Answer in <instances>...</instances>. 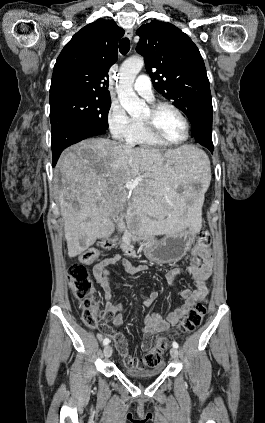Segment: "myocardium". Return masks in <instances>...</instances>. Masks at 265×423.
Instances as JSON below:
<instances>
[{
  "label": "myocardium",
  "instance_id": "obj_1",
  "mask_svg": "<svg viewBox=\"0 0 265 423\" xmlns=\"http://www.w3.org/2000/svg\"><path fill=\"white\" fill-rule=\"evenodd\" d=\"M164 108L173 110L182 119L185 125V136L183 139L179 141L169 140L159 131L155 122V115ZM148 109L150 112V116L147 119H142L141 122L143 126L145 127V129L147 130V132L151 136H153L155 139L159 140L160 142L166 145H181L189 139L190 130H191L190 122L188 118L186 117V115L184 114V112L180 108L168 102H157V103H152Z\"/></svg>",
  "mask_w": 265,
  "mask_h": 423
}]
</instances>
